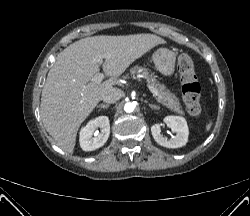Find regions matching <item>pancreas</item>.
<instances>
[{
	"instance_id": "obj_1",
	"label": "pancreas",
	"mask_w": 250,
	"mask_h": 216,
	"mask_svg": "<svg viewBox=\"0 0 250 216\" xmlns=\"http://www.w3.org/2000/svg\"><path fill=\"white\" fill-rule=\"evenodd\" d=\"M130 73L133 77H135L138 73H142L146 76L148 84L154 87L159 93L157 101L169 108L171 111L184 115L180 101L175 94L166 90V87L163 84H160L156 77L150 74L146 68L136 65L130 69Z\"/></svg>"
}]
</instances>
